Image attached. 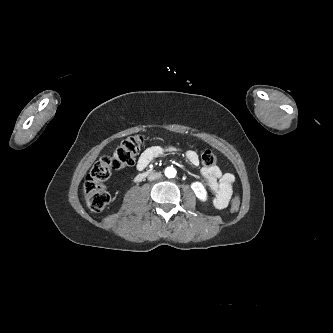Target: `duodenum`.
Wrapping results in <instances>:
<instances>
[{"mask_svg":"<svg viewBox=\"0 0 333 333\" xmlns=\"http://www.w3.org/2000/svg\"><path fill=\"white\" fill-rule=\"evenodd\" d=\"M147 173H141V174H139V175H137V177H136V181H141V180H143L144 178H146L147 177Z\"/></svg>","mask_w":333,"mask_h":333,"instance_id":"410a0bca","label":"duodenum"}]
</instances>
